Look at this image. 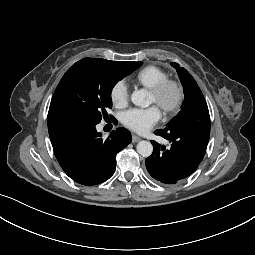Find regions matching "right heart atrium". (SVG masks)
I'll use <instances>...</instances> for the list:
<instances>
[{"instance_id": "obj_1", "label": "right heart atrium", "mask_w": 255, "mask_h": 255, "mask_svg": "<svg viewBox=\"0 0 255 255\" xmlns=\"http://www.w3.org/2000/svg\"><path fill=\"white\" fill-rule=\"evenodd\" d=\"M110 99L117 108H123L129 101V89L124 80L117 81L111 88Z\"/></svg>"}]
</instances>
